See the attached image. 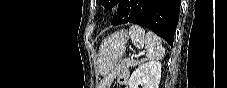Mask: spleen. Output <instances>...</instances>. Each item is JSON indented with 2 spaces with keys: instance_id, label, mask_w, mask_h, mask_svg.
<instances>
[{
  "instance_id": "1",
  "label": "spleen",
  "mask_w": 227,
  "mask_h": 88,
  "mask_svg": "<svg viewBox=\"0 0 227 88\" xmlns=\"http://www.w3.org/2000/svg\"><path fill=\"white\" fill-rule=\"evenodd\" d=\"M129 35L135 47L138 49L145 47L146 57L149 60H159L164 57L165 48L161 45V38L155 33L151 31L146 33L142 27L132 25L129 28Z\"/></svg>"
}]
</instances>
